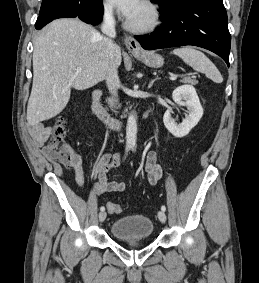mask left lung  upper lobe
<instances>
[{"label":"left lung upper lobe","mask_w":259,"mask_h":283,"mask_svg":"<svg viewBox=\"0 0 259 283\" xmlns=\"http://www.w3.org/2000/svg\"><path fill=\"white\" fill-rule=\"evenodd\" d=\"M157 2L161 7V13H166L177 9L187 0H151Z\"/></svg>","instance_id":"left-lung-upper-lobe-1"}]
</instances>
